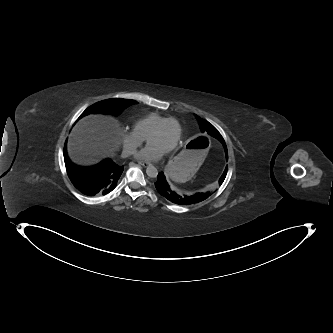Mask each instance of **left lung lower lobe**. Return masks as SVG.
Listing matches in <instances>:
<instances>
[{
    "mask_svg": "<svg viewBox=\"0 0 333 333\" xmlns=\"http://www.w3.org/2000/svg\"><path fill=\"white\" fill-rule=\"evenodd\" d=\"M220 141L223 144V146L226 148L224 140L220 139ZM155 187L162 197H164L165 199H167L172 203L179 205L196 204L207 199L211 195V192H199L190 195H185L175 192L167 183L163 172H160L158 174L157 181L155 182Z\"/></svg>",
    "mask_w": 333,
    "mask_h": 333,
    "instance_id": "1",
    "label": "left lung lower lobe"
}]
</instances>
